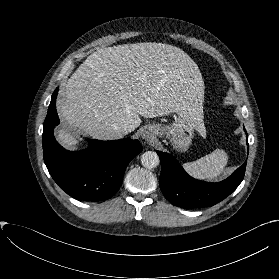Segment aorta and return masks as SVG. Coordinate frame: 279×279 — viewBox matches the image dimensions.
I'll list each match as a JSON object with an SVG mask.
<instances>
[{
	"instance_id": "1",
	"label": "aorta",
	"mask_w": 279,
	"mask_h": 279,
	"mask_svg": "<svg viewBox=\"0 0 279 279\" xmlns=\"http://www.w3.org/2000/svg\"><path fill=\"white\" fill-rule=\"evenodd\" d=\"M141 163L145 168H155L159 164V156L156 152L146 151L141 155Z\"/></svg>"
}]
</instances>
